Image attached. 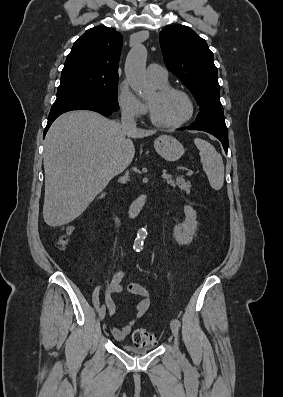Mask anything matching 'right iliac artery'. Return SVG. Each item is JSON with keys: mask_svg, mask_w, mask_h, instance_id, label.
I'll return each mask as SVG.
<instances>
[{"mask_svg": "<svg viewBox=\"0 0 283 397\" xmlns=\"http://www.w3.org/2000/svg\"><path fill=\"white\" fill-rule=\"evenodd\" d=\"M98 294H99V287H97V288L95 289V291H94V295H93V298H92V303L95 305L96 309H97L98 311H100V309H99V298H98Z\"/></svg>", "mask_w": 283, "mask_h": 397, "instance_id": "right-iliac-artery-1", "label": "right iliac artery"}]
</instances>
